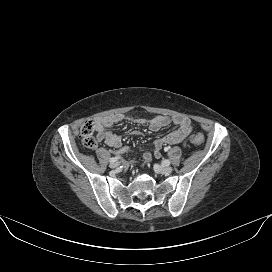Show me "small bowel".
<instances>
[{
    "label": "small bowel",
    "mask_w": 272,
    "mask_h": 272,
    "mask_svg": "<svg viewBox=\"0 0 272 272\" xmlns=\"http://www.w3.org/2000/svg\"><path fill=\"white\" fill-rule=\"evenodd\" d=\"M123 120H129L135 123L147 124L149 129L153 132H158L167 125L173 123L178 126V128L168 133L167 135L157 138L153 142L154 147V156L159 158L161 155V149L164 145H172L185 143L192 133L191 121L188 117L183 115H176L173 117L159 115L152 119L146 120L143 118H132L126 117L123 114H113L96 119V132H97V141L104 142L108 146L113 148H120L122 145L121 137L117 134H114L106 129L112 126L115 123L121 122ZM131 134L139 135L140 132L132 131ZM143 159L146 164L150 163L152 156L149 152L143 153Z\"/></svg>",
    "instance_id": "1"
}]
</instances>
